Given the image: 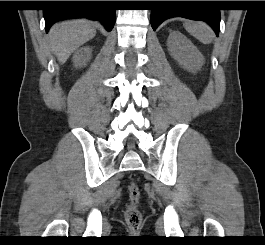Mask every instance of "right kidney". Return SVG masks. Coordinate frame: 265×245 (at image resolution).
I'll list each match as a JSON object with an SVG mask.
<instances>
[{"instance_id":"ca27d5eb","label":"right kidney","mask_w":265,"mask_h":245,"mask_svg":"<svg viewBox=\"0 0 265 245\" xmlns=\"http://www.w3.org/2000/svg\"><path fill=\"white\" fill-rule=\"evenodd\" d=\"M91 59V49L83 47L73 55V63L75 67L86 66L87 62Z\"/></svg>"}]
</instances>
